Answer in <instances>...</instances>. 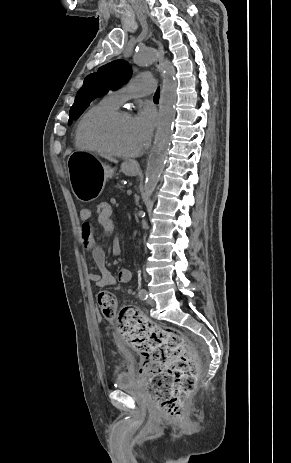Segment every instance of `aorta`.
Returning a JSON list of instances; mask_svg holds the SVG:
<instances>
[{"mask_svg":"<svg viewBox=\"0 0 291 463\" xmlns=\"http://www.w3.org/2000/svg\"><path fill=\"white\" fill-rule=\"evenodd\" d=\"M156 59V49L151 47L140 50L134 56V62L139 66L152 64ZM174 74V67L166 62L163 66V87L159 104L158 125L145 172L144 200L149 199L156 188L170 147L177 98V83Z\"/></svg>","mask_w":291,"mask_h":463,"instance_id":"obj_1","label":"aorta"}]
</instances>
